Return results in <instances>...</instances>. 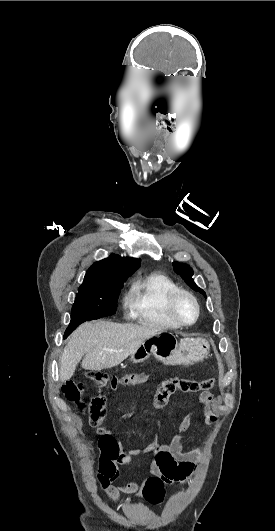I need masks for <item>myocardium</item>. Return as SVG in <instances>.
Here are the masks:
<instances>
[{"instance_id": "myocardium-1", "label": "myocardium", "mask_w": 275, "mask_h": 531, "mask_svg": "<svg viewBox=\"0 0 275 531\" xmlns=\"http://www.w3.org/2000/svg\"><path fill=\"white\" fill-rule=\"evenodd\" d=\"M180 295H185V296L189 297L194 302V304L196 306V316L191 322H184V321L180 320L178 318V316L176 315V313H175V308H174L175 301ZM166 310H167V313H168L169 317L175 323H177L179 326H190V325H193L199 320L200 315H201V306H200V303H199V300L197 299V297L193 293H191L190 291H188L186 289H182V288H176V289H174L173 291H171L169 293V295L166 298Z\"/></svg>"}]
</instances>
